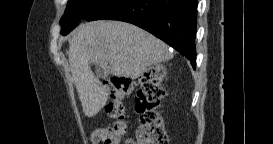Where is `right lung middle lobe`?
I'll return each mask as SVG.
<instances>
[{"label":"right lung middle lobe","mask_w":273,"mask_h":144,"mask_svg":"<svg viewBox=\"0 0 273 144\" xmlns=\"http://www.w3.org/2000/svg\"><path fill=\"white\" fill-rule=\"evenodd\" d=\"M110 0H69L66 11L60 20L61 34H68L81 18H89Z\"/></svg>","instance_id":"obj_1"}]
</instances>
